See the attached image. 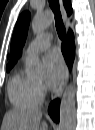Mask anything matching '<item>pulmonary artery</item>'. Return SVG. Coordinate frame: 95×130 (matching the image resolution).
Listing matches in <instances>:
<instances>
[{
    "mask_svg": "<svg viewBox=\"0 0 95 130\" xmlns=\"http://www.w3.org/2000/svg\"><path fill=\"white\" fill-rule=\"evenodd\" d=\"M52 36L50 33H44L37 36L27 47L24 52V58L36 55L51 46Z\"/></svg>",
    "mask_w": 95,
    "mask_h": 130,
    "instance_id": "obj_1",
    "label": "pulmonary artery"
}]
</instances>
